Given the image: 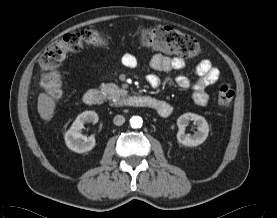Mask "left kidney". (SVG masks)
<instances>
[{
    "label": "left kidney",
    "mask_w": 277,
    "mask_h": 218,
    "mask_svg": "<svg viewBox=\"0 0 277 218\" xmlns=\"http://www.w3.org/2000/svg\"><path fill=\"white\" fill-rule=\"evenodd\" d=\"M193 121L197 125L198 131L193 134H185V128L189 122ZM179 131L177 133V140L184 146L195 147L202 144L209 134V125L206 119L194 113H184L177 119Z\"/></svg>",
    "instance_id": "1"
}]
</instances>
